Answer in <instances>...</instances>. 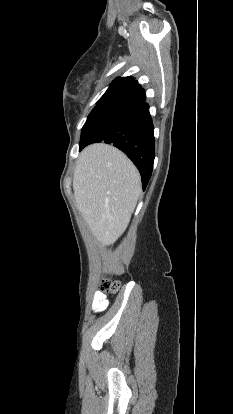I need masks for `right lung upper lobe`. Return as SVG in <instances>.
<instances>
[{
	"label": "right lung upper lobe",
	"mask_w": 233,
	"mask_h": 414,
	"mask_svg": "<svg viewBox=\"0 0 233 414\" xmlns=\"http://www.w3.org/2000/svg\"><path fill=\"white\" fill-rule=\"evenodd\" d=\"M121 79H125V80H130V81L136 82L135 80H133V79H132V78H130V77L121 78Z\"/></svg>",
	"instance_id": "1"
}]
</instances>
